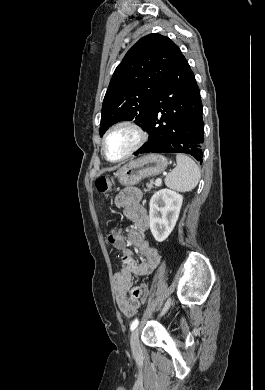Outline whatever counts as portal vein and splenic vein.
Returning <instances> with one entry per match:
<instances>
[{
  "label": "portal vein and splenic vein",
  "instance_id": "portal-vein-and-splenic-vein-1",
  "mask_svg": "<svg viewBox=\"0 0 265 390\" xmlns=\"http://www.w3.org/2000/svg\"><path fill=\"white\" fill-rule=\"evenodd\" d=\"M161 183H162V180L160 178H157L155 181V185L159 186V185H161Z\"/></svg>",
  "mask_w": 265,
  "mask_h": 390
}]
</instances>
